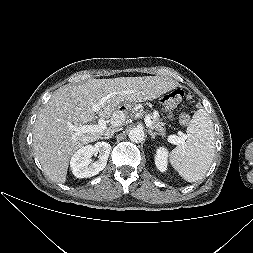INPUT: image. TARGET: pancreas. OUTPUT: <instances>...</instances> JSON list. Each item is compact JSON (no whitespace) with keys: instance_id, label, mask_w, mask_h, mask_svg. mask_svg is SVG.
I'll list each match as a JSON object with an SVG mask.
<instances>
[{"instance_id":"obj_1","label":"pancreas","mask_w":253,"mask_h":253,"mask_svg":"<svg viewBox=\"0 0 253 253\" xmlns=\"http://www.w3.org/2000/svg\"><path fill=\"white\" fill-rule=\"evenodd\" d=\"M152 125L151 129L155 130L158 135L164 136L166 133L165 123L162 122L157 116L149 115Z\"/></svg>"}]
</instances>
